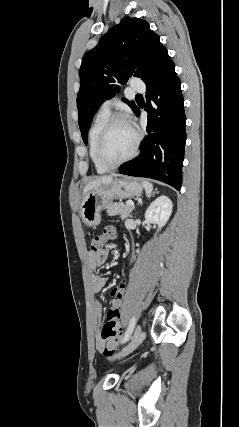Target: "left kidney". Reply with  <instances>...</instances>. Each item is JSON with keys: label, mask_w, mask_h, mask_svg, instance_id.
<instances>
[{"label": "left kidney", "mask_w": 239, "mask_h": 427, "mask_svg": "<svg viewBox=\"0 0 239 427\" xmlns=\"http://www.w3.org/2000/svg\"><path fill=\"white\" fill-rule=\"evenodd\" d=\"M172 202L166 196L156 198L145 212L147 222L157 224L158 230L161 229L169 220L172 213Z\"/></svg>", "instance_id": "1"}]
</instances>
